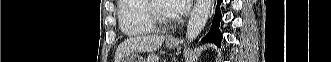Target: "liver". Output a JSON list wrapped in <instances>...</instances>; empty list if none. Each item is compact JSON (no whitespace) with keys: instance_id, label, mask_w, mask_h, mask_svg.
<instances>
[{"instance_id":"obj_1","label":"liver","mask_w":331,"mask_h":62,"mask_svg":"<svg viewBox=\"0 0 331 62\" xmlns=\"http://www.w3.org/2000/svg\"><path fill=\"white\" fill-rule=\"evenodd\" d=\"M164 36L147 35L131 37L124 40L117 48L114 62H121L122 58L134 52H154L161 47Z\"/></svg>"}]
</instances>
